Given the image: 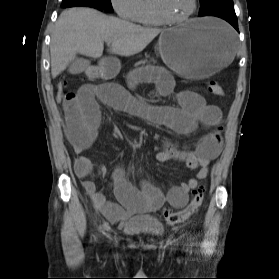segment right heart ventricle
Returning <instances> with one entry per match:
<instances>
[{"label": "right heart ventricle", "instance_id": "1", "mask_svg": "<svg viewBox=\"0 0 279 279\" xmlns=\"http://www.w3.org/2000/svg\"><path fill=\"white\" fill-rule=\"evenodd\" d=\"M135 21L145 26H160L163 24L154 10L152 0H140L139 11Z\"/></svg>", "mask_w": 279, "mask_h": 279}]
</instances>
